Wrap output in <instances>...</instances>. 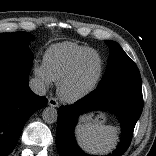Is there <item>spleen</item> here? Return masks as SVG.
Masks as SVG:
<instances>
[{
	"label": "spleen",
	"instance_id": "1",
	"mask_svg": "<svg viewBox=\"0 0 156 156\" xmlns=\"http://www.w3.org/2000/svg\"><path fill=\"white\" fill-rule=\"evenodd\" d=\"M117 128L97 123L86 122L76 128L77 140L80 146L92 154H106L117 144Z\"/></svg>",
	"mask_w": 156,
	"mask_h": 156
}]
</instances>
